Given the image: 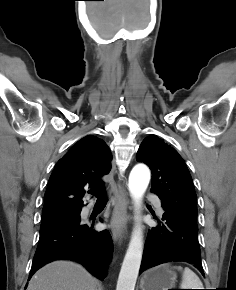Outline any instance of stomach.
<instances>
[{
    "mask_svg": "<svg viewBox=\"0 0 236 290\" xmlns=\"http://www.w3.org/2000/svg\"><path fill=\"white\" fill-rule=\"evenodd\" d=\"M177 275L169 264L160 265L147 271L141 280L142 290H168L175 284Z\"/></svg>",
    "mask_w": 236,
    "mask_h": 290,
    "instance_id": "1",
    "label": "stomach"
}]
</instances>
